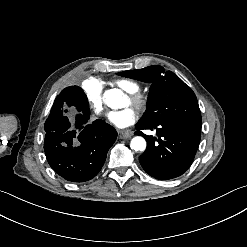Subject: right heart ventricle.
<instances>
[{"mask_svg": "<svg viewBox=\"0 0 247 247\" xmlns=\"http://www.w3.org/2000/svg\"><path fill=\"white\" fill-rule=\"evenodd\" d=\"M120 85L128 91H133L135 89V86L127 81L120 82Z\"/></svg>", "mask_w": 247, "mask_h": 247, "instance_id": "right-heart-ventricle-1", "label": "right heart ventricle"}]
</instances>
